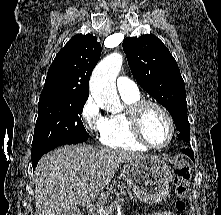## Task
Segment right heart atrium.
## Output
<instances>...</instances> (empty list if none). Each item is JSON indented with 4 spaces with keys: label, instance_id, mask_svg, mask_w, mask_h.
Returning <instances> with one entry per match:
<instances>
[{
    "label": "right heart atrium",
    "instance_id": "1",
    "mask_svg": "<svg viewBox=\"0 0 221 215\" xmlns=\"http://www.w3.org/2000/svg\"><path fill=\"white\" fill-rule=\"evenodd\" d=\"M81 119L84 128L95 136H101L105 126L106 118L100 110L97 101L89 96L81 109Z\"/></svg>",
    "mask_w": 221,
    "mask_h": 215
}]
</instances>
